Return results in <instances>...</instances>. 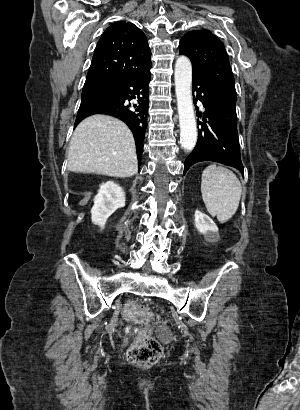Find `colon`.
<instances>
[{"label": "colon", "instance_id": "colon-1", "mask_svg": "<svg viewBox=\"0 0 300 410\" xmlns=\"http://www.w3.org/2000/svg\"><path fill=\"white\" fill-rule=\"evenodd\" d=\"M125 316L131 320H136L137 327H148L149 330H156L158 327L157 321H164L162 317L149 316L150 309L142 303L129 301L124 306ZM163 353V349L159 341L150 337L146 331H140L133 343L131 344L127 358L132 364L144 366L157 363Z\"/></svg>", "mask_w": 300, "mask_h": 410}]
</instances>
